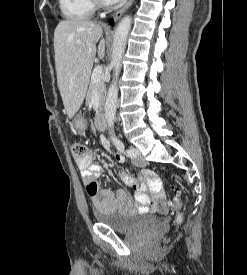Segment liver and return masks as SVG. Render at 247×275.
<instances>
[{"label":"liver","mask_w":247,"mask_h":275,"mask_svg":"<svg viewBox=\"0 0 247 275\" xmlns=\"http://www.w3.org/2000/svg\"><path fill=\"white\" fill-rule=\"evenodd\" d=\"M101 25L81 19L62 20L54 32L57 84L67 116L72 118L80 109L89 84L93 61L98 53L105 55Z\"/></svg>","instance_id":"6515ba94"}]
</instances>
